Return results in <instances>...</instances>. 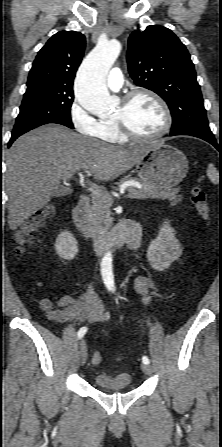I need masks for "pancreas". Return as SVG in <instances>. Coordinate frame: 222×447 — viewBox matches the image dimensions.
Here are the masks:
<instances>
[{
	"label": "pancreas",
	"mask_w": 222,
	"mask_h": 447,
	"mask_svg": "<svg viewBox=\"0 0 222 447\" xmlns=\"http://www.w3.org/2000/svg\"><path fill=\"white\" fill-rule=\"evenodd\" d=\"M129 180L138 181L143 186L141 189L136 187L128 188V191L135 194L138 199L161 198L175 203L180 202L182 199V196L178 195L179 189H163L158 185L149 184L137 178L125 177L116 184L120 186ZM109 198L111 196L106 191H104L102 196L92 195V206L88 211L86 227L89 234L94 238H98L106 233L112 225V218L110 217L112 200H109Z\"/></svg>",
	"instance_id": "obj_1"
}]
</instances>
